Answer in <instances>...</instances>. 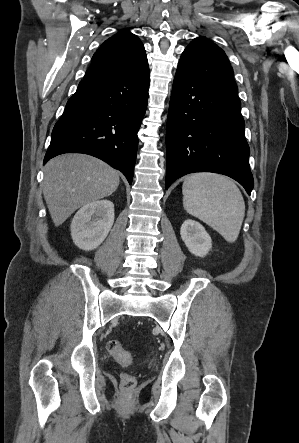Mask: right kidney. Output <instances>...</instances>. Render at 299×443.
Here are the masks:
<instances>
[{
	"instance_id": "1",
	"label": "right kidney",
	"mask_w": 299,
	"mask_h": 443,
	"mask_svg": "<svg viewBox=\"0 0 299 443\" xmlns=\"http://www.w3.org/2000/svg\"><path fill=\"white\" fill-rule=\"evenodd\" d=\"M114 223V205L98 200L84 205L71 223L74 244L82 250L96 249L107 237Z\"/></svg>"
}]
</instances>
